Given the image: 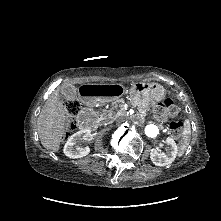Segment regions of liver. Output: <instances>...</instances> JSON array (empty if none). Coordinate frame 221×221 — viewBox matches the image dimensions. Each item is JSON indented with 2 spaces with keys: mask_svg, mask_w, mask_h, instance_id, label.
Listing matches in <instances>:
<instances>
[{
  "mask_svg": "<svg viewBox=\"0 0 221 221\" xmlns=\"http://www.w3.org/2000/svg\"><path fill=\"white\" fill-rule=\"evenodd\" d=\"M68 111L60 100L59 89L44 104L37 120V130L43 147L58 152L68 127Z\"/></svg>",
  "mask_w": 221,
  "mask_h": 221,
  "instance_id": "obj_1",
  "label": "liver"
}]
</instances>
